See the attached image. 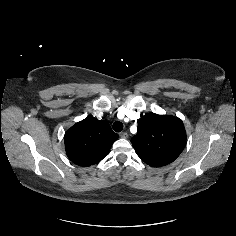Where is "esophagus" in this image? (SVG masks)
Returning <instances> with one entry per match:
<instances>
[{
	"instance_id": "esophagus-1",
	"label": "esophagus",
	"mask_w": 236,
	"mask_h": 236,
	"mask_svg": "<svg viewBox=\"0 0 236 236\" xmlns=\"http://www.w3.org/2000/svg\"><path fill=\"white\" fill-rule=\"evenodd\" d=\"M119 136H120V138H123V139H127V138H128L127 132H121V133L119 134Z\"/></svg>"
}]
</instances>
